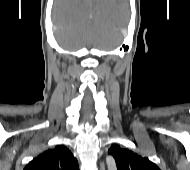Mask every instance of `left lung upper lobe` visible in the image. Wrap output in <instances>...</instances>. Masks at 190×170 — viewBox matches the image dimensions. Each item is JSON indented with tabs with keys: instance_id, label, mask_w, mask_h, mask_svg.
I'll list each match as a JSON object with an SVG mask.
<instances>
[{
	"instance_id": "obj_1",
	"label": "left lung upper lobe",
	"mask_w": 190,
	"mask_h": 170,
	"mask_svg": "<svg viewBox=\"0 0 190 170\" xmlns=\"http://www.w3.org/2000/svg\"><path fill=\"white\" fill-rule=\"evenodd\" d=\"M108 154L114 157L118 170H160L148 158L118 145L111 146Z\"/></svg>"
}]
</instances>
